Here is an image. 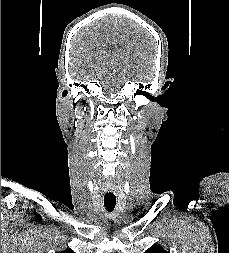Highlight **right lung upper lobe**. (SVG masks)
I'll list each match as a JSON object with an SVG mask.
<instances>
[{
	"label": "right lung upper lobe",
	"mask_w": 229,
	"mask_h": 253,
	"mask_svg": "<svg viewBox=\"0 0 229 253\" xmlns=\"http://www.w3.org/2000/svg\"><path fill=\"white\" fill-rule=\"evenodd\" d=\"M61 253H74V252L67 250V251H62Z\"/></svg>",
	"instance_id": "right-lung-upper-lobe-1"
}]
</instances>
